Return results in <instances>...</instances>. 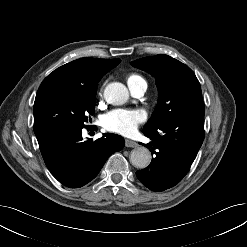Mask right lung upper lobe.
<instances>
[{"label":"right lung upper lobe","mask_w":247,"mask_h":247,"mask_svg":"<svg viewBox=\"0 0 247 247\" xmlns=\"http://www.w3.org/2000/svg\"><path fill=\"white\" fill-rule=\"evenodd\" d=\"M120 59L81 58L67 63L50 73L41 83L38 92L63 88L96 92L104 74L120 63Z\"/></svg>","instance_id":"right-lung-upper-lobe-1"}]
</instances>
